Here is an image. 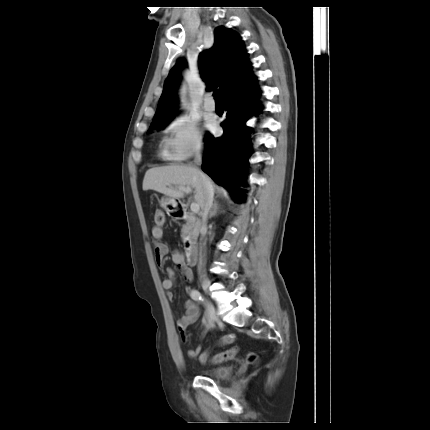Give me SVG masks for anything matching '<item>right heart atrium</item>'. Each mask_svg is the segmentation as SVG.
<instances>
[{
  "instance_id": "d8ad5b80",
  "label": "right heart atrium",
  "mask_w": 430,
  "mask_h": 430,
  "mask_svg": "<svg viewBox=\"0 0 430 430\" xmlns=\"http://www.w3.org/2000/svg\"><path fill=\"white\" fill-rule=\"evenodd\" d=\"M197 123L186 115L174 117L164 129L162 154L171 161H183L202 150Z\"/></svg>"
}]
</instances>
